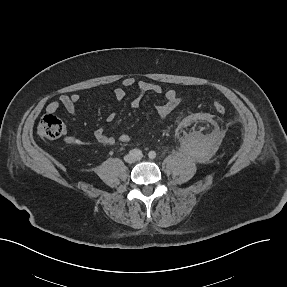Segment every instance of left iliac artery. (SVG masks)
Returning <instances> with one entry per match:
<instances>
[{"mask_svg":"<svg viewBox=\"0 0 287 287\" xmlns=\"http://www.w3.org/2000/svg\"><path fill=\"white\" fill-rule=\"evenodd\" d=\"M148 156H149V158L154 159L156 157V152L155 151H150Z\"/></svg>","mask_w":287,"mask_h":287,"instance_id":"left-iliac-artery-1","label":"left iliac artery"}]
</instances>
